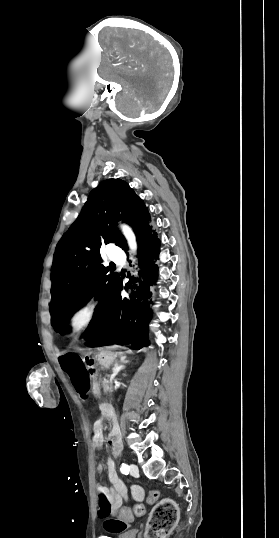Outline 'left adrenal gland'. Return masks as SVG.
I'll return each mask as SVG.
<instances>
[{"label": "left adrenal gland", "instance_id": "1", "mask_svg": "<svg viewBox=\"0 0 279 538\" xmlns=\"http://www.w3.org/2000/svg\"><path fill=\"white\" fill-rule=\"evenodd\" d=\"M123 364H126V362H121V364L119 366L120 370H124L125 366H123Z\"/></svg>", "mask_w": 279, "mask_h": 538}]
</instances>
